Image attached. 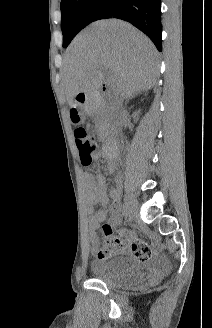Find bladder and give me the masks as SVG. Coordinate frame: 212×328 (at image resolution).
I'll return each instance as SVG.
<instances>
[{"mask_svg": "<svg viewBox=\"0 0 212 328\" xmlns=\"http://www.w3.org/2000/svg\"><path fill=\"white\" fill-rule=\"evenodd\" d=\"M90 271L95 279L113 287L134 285L144 277L141 263L130 262L125 257L94 260L90 264Z\"/></svg>", "mask_w": 212, "mask_h": 328, "instance_id": "obj_1", "label": "bladder"}]
</instances>
